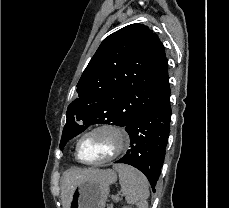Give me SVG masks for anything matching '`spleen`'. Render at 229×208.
<instances>
[{"mask_svg":"<svg viewBox=\"0 0 229 208\" xmlns=\"http://www.w3.org/2000/svg\"><path fill=\"white\" fill-rule=\"evenodd\" d=\"M113 170L118 172L121 192L128 204H135L137 208H148L149 188L147 178L132 166L114 164Z\"/></svg>","mask_w":229,"mask_h":208,"instance_id":"3e777b00","label":"spleen"}]
</instances>
